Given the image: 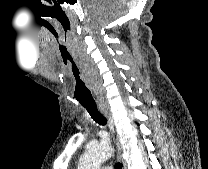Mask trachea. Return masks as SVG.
Listing matches in <instances>:
<instances>
[{"label": "trachea", "mask_w": 208, "mask_h": 169, "mask_svg": "<svg viewBox=\"0 0 208 169\" xmlns=\"http://www.w3.org/2000/svg\"><path fill=\"white\" fill-rule=\"evenodd\" d=\"M84 108L88 111V113L91 115L96 123L102 126L107 124L106 117L100 112L96 105L84 106ZM115 169H122V163L117 162L115 164Z\"/></svg>", "instance_id": "1"}]
</instances>
